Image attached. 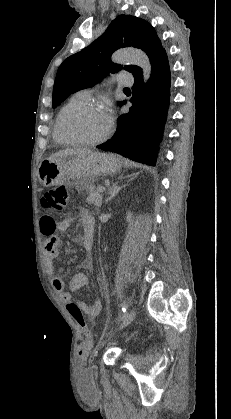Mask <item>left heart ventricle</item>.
<instances>
[{"mask_svg":"<svg viewBox=\"0 0 231 419\" xmlns=\"http://www.w3.org/2000/svg\"><path fill=\"white\" fill-rule=\"evenodd\" d=\"M109 124L102 110H87L73 116L68 129L84 139H95L105 133Z\"/></svg>","mask_w":231,"mask_h":419,"instance_id":"b2bd125f","label":"left heart ventricle"}]
</instances>
